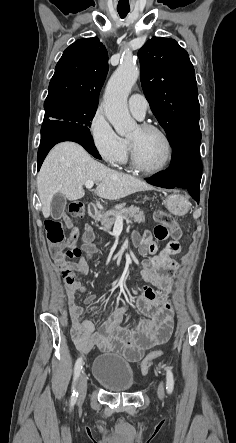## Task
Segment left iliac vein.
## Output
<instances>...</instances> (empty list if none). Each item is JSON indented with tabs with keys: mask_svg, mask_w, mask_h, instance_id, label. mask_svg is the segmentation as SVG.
Wrapping results in <instances>:
<instances>
[{
	"mask_svg": "<svg viewBox=\"0 0 236 443\" xmlns=\"http://www.w3.org/2000/svg\"><path fill=\"white\" fill-rule=\"evenodd\" d=\"M157 394H158V397H159L160 400L164 399V385H163L162 382L158 386Z\"/></svg>",
	"mask_w": 236,
	"mask_h": 443,
	"instance_id": "obj_1",
	"label": "left iliac vein"
}]
</instances>
